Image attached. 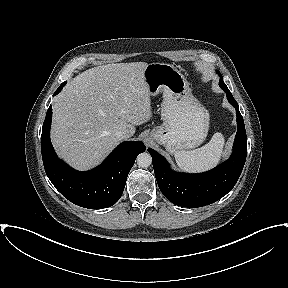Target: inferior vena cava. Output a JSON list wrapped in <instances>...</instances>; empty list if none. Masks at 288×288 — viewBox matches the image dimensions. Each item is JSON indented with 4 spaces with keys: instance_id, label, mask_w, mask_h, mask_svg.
<instances>
[{
    "instance_id": "obj_1",
    "label": "inferior vena cava",
    "mask_w": 288,
    "mask_h": 288,
    "mask_svg": "<svg viewBox=\"0 0 288 288\" xmlns=\"http://www.w3.org/2000/svg\"><path fill=\"white\" fill-rule=\"evenodd\" d=\"M115 136H116V138H117L118 140H120V141L127 138L126 133H125L124 131H122V130L117 131V132L115 133Z\"/></svg>"
}]
</instances>
